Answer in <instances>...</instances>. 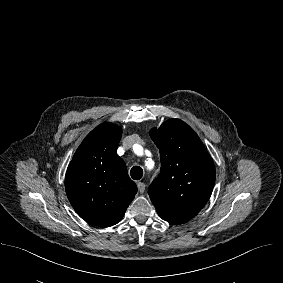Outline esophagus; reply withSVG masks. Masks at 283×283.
Segmentation results:
<instances>
[{"mask_svg":"<svg viewBox=\"0 0 283 283\" xmlns=\"http://www.w3.org/2000/svg\"><path fill=\"white\" fill-rule=\"evenodd\" d=\"M137 187H138V191L140 193H143L145 191L146 185L143 182H138Z\"/></svg>","mask_w":283,"mask_h":283,"instance_id":"34e87169","label":"esophagus"}]
</instances>
